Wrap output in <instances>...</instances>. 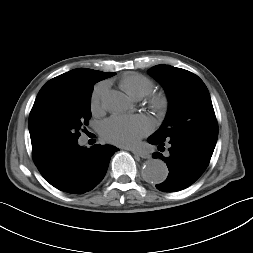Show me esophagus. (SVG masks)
Returning a JSON list of instances; mask_svg holds the SVG:
<instances>
[{
    "mask_svg": "<svg viewBox=\"0 0 253 253\" xmlns=\"http://www.w3.org/2000/svg\"><path fill=\"white\" fill-rule=\"evenodd\" d=\"M132 153L136 156H139L143 159H146V158H149V153L145 152V151H142V150H137V149H133L131 150Z\"/></svg>",
    "mask_w": 253,
    "mask_h": 253,
    "instance_id": "obj_1",
    "label": "esophagus"
}]
</instances>
